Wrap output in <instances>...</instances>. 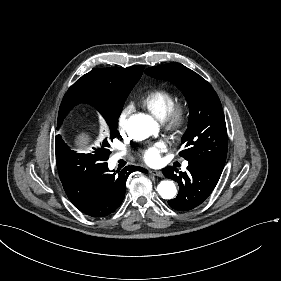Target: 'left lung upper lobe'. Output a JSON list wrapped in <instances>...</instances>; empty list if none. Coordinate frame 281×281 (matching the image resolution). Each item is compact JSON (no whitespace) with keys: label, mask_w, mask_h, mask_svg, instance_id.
Here are the masks:
<instances>
[{"label":"left lung upper lobe","mask_w":281,"mask_h":281,"mask_svg":"<svg viewBox=\"0 0 281 281\" xmlns=\"http://www.w3.org/2000/svg\"><path fill=\"white\" fill-rule=\"evenodd\" d=\"M145 73L175 83L187 99L190 118L182 138L185 149L179 155L222 173L228 138L221 102L212 86L180 63L154 66L147 68Z\"/></svg>","instance_id":"left-lung-upper-lobe-1"}]
</instances>
